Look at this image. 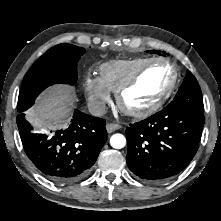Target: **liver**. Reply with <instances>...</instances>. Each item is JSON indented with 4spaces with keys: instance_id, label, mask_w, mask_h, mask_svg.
<instances>
[{
    "instance_id": "obj_1",
    "label": "liver",
    "mask_w": 221,
    "mask_h": 221,
    "mask_svg": "<svg viewBox=\"0 0 221 221\" xmlns=\"http://www.w3.org/2000/svg\"><path fill=\"white\" fill-rule=\"evenodd\" d=\"M75 96L65 86H55L40 96L28 111L31 123L38 128L60 127L71 117Z\"/></svg>"
}]
</instances>
